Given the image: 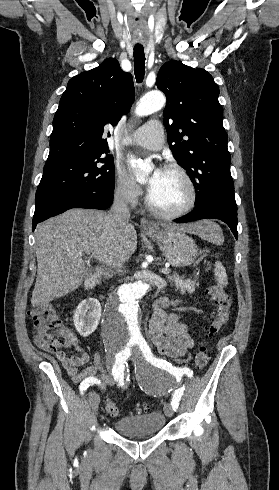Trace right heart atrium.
Here are the masks:
<instances>
[{"label":"right heart atrium","instance_id":"obj_1","mask_svg":"<svg viewBox=\"0 0 279 490\" xmlns=\"http://www.w3.org/2000/svg\"><path fill=\"white\" fill-rule=\"evenodd\" d=\"M113 190L115 197L119 201L131 206H135L141 197L140 189L119 167L114 169Z\"/></svg>","mask_w":279,"mask_h":490}]
</instances>
